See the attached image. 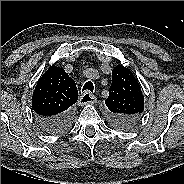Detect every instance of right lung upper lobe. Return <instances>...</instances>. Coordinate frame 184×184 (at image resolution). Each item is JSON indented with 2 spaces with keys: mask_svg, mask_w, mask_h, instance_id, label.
<instances>
[{
  "mask_svg": "<svg viewBox=\"0 0 184 184\" xmlns=\"http://www.w3.org/2000/svg\"><path fill=\"white\" fill-rule=\"evenodd\" d=\"M77 99L75 81L63 68L52 65L35 87L32 109L37 118L56 117L68 112Z\"/></svg>",
  "mask_w": 184,
  "mask_h": 184,
  "instance_id": "obj_1",
  "label": "right lung upper lobe"
}]
</instances>
